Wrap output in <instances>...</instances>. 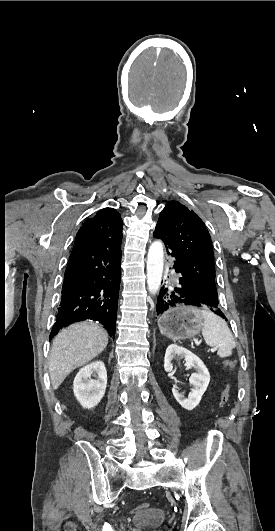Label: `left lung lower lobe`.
Returning <instances> with one entry per match:
<instances>
[{"label":"left lung lower lobe","instance_id":"1","mask_svg":"<svg viewBox=\"0 0 275 531\" xmlns=\"http://www.w3.org/2000/svg\"><path fill=\"white\" fill-rule=\"evenodd\" d=\"M154 237L161 239L165 243L168 254L175 259L173 269H175V272L179 274L178 284L176 287L169 289L168 287L163 286L160 289L156 304L157 315H161L168 309L179 305H192L197 307H208L212 312L226 319L224 314L217 309L216 306L205 303L190 291L181 273L180 263L176 257V254L168 242L164 239L158 228H155Z\"/></svg>","mask_w":275,"mask_h":531}]
</instances>
